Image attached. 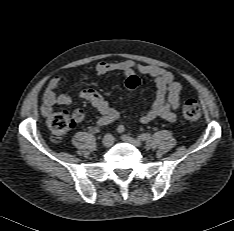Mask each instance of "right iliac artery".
<instances>
[{"label":"right iliac artery","mask_w":234,"mask_h":231,"mask_svg":"<svg viewBox=\"0 0 234 231\" xmlns=\"http://www.w3.org/2000/svg\"><path fill=\"white\" fill-rule=\"evenodd\" d=\"M112 121L109 120V119H106V118H100L98 121H97V126L100 127V126H104V125H107L109 123H111Z\"/></svg>","instance_id":"82829eb1"}]
</instances>
